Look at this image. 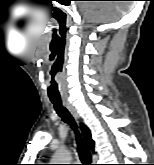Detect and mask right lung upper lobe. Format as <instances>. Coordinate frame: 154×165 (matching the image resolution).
<instances>
[{"label": "right lung upper lobe", "mask_w": 154, "mask_h": 165, "mask_svg": "<svg viewBox=\"0 0 154 165\" xmlns=\"http://www.w3.org/2000/svg\"><path fill=\"white\" fill-rule=\"evenodd\" d=\"M80 129L82 131V134L84 136V140L86 141V144L89 146V148L94 151V141L91 138L90 130L84 125H80Z\"/></svg>", "instance_id": "obj_1"}]
</instances>
